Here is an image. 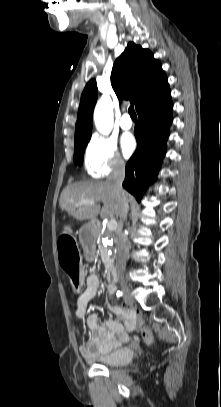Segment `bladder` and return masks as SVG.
I'll use <instances>...</instances> for the list:
<instances>
[{
    "label": "bladder",
    "instance_id": "bladder-1",
    "mask_svg": "<svg viewBox=\"0 0 221 407\" xmlns=\"http://www.w3.org/2000/svg\"><path fill=\"white\" fill-rule=\"evenodd\" d=\"M135 351L132 347H120L109 353L93 356L90 360L107 367H122L132 362Z\"/></svg>",
    "mask_w": 221,
    "mask_h": 407
}]
</instances>
